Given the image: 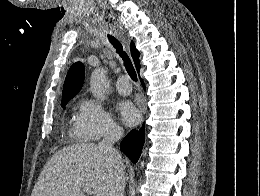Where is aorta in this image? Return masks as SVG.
<instances>
[{
	"instance_id": "762f6f07",
	"label": "aorta",
	"mask_w": 260,
	"mask_h": 196,
	"mask_svg": "<svg viewBox=\"0 0 260 196\" xmlns=\"http://www.w3.org/2000/svg\"><path fill=\"white\" fill-rule=\"evenodd\" d=\"M108 87L107 71L102 67L94 69L90 77V90L93 96L104 100Z\"/></svg>"
}]
</instances>
